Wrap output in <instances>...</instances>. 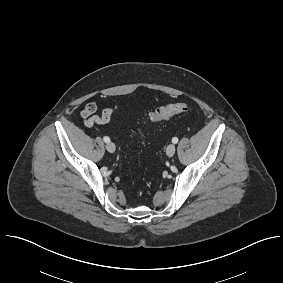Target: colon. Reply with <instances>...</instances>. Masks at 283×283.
<instances>
[{
	"label": "colon",
	"instance_id": "5ec220e1",
	"mask_svg": "<svg viewBox=\"0 0 283 283\" xmlns=\"http://www.w3.org/2000/svg\"><path fill=\"white\" fill-rule=\"evenodd\" d=\"M189 110V106L186 103H173L166 106H162L149 115V119L152 122H160L167 120L175 115L185 113Z\"/></svg>",
	"mask_w": 283,
	"mask_h": 283
}]
</instances>
